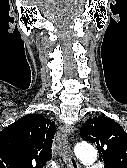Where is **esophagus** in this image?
Masks as SVG:
<instances>
[{"mask_svg": "<svg viewBox=\"0 0 127 168\" xmlns=\"http://www.w3.org/2000/svg\"><path fill=\"white\" fill-rule=\"evenodd\" d=\"M57 148L59 155L63 158L68 168H80L79 164L70 149L68 142V129L66 126H60L57 132Z\"/></svg>", "mask_w": 127, "mask_h": 168, "instance_id": "34e87169", "label": "esophagus"}]
</instances>
